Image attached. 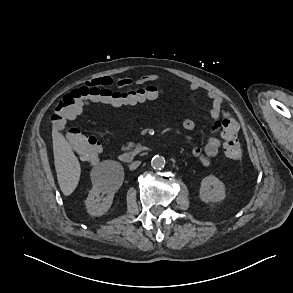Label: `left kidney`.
Here are the masks:
<instances>
[{
	"mask_svg": "<svg viewBox=\"0 0 293 293\" xmlns=\"http://www.w3.org/2000/svg\"><path fill=\"white\" fill-rule=\"evenodd\" d=\"M225 185L214 175L202 179L199 190L200 199L205 202H219L225 199Z\"/></svg>",
	"mask_w": 293,
	"mask_h": 293,
	"instance_id": "5707ae66",
	"label": "left kidney"
}]
</instances>
